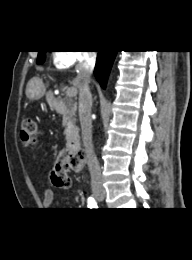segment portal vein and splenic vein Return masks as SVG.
I'll use <instances>...</instances> for the list:
<instances>
[{
    "instance_id": "obj_1",
    "label": "portal vein and splenic vein",
    "mask_w": 192,
    "mask_h": 260,
    "mask_svg": "<svg viewBox=\"0 0 192 260\" xmlns=\"http://www.w3.org/2000/svg\"><path fill=\"white\" fill-rule=\"evenodd\" d=\"M77 94V89L72 87V88H69L67 91H66V96L71 98V97H74L76 96Z\"/></svg>"
}]
</instances>
